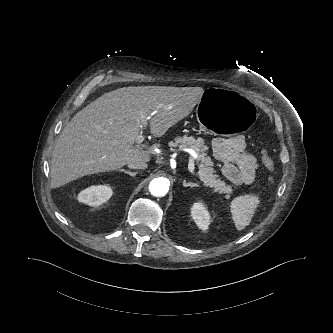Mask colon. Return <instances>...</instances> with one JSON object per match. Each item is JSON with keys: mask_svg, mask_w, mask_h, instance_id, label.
Listing matches in <instances>:
<instances>
[{"mask_svg": "<svg viewBox=\"0 0 333 333\" xmlns=\"http://www.w3.org/2000/svg\"><path fill=\"white\" fill-rule=\"evenodd\" d=\"M262 160H263V163H264L265 167L270 172H273L274 169H275L274 162H273L271 156L269 155V153L267 151L262 152ZM270 182H272V178H270Z\"/></svg>", "mask_w": 333, "mask_h": 333, "instance_id": "5ec220e1", "label": "colon"}]
</instances>
